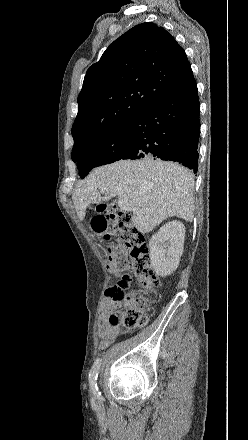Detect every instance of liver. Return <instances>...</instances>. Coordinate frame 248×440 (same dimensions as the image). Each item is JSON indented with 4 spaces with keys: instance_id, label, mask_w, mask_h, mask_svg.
Instances as JSON below:
<instances>
[{
    "instance_id": "liver-1",
    "label": "liver",
    "mask_w": 248,
    "mask_h": 440,
    "mask_svg": "<svg viewBox=\"0 0 248 440\" xmlns=\"http://www.w3.org/2000/svg\"><path fill=\"white\" fill-rule=\"evenodd\" d=\"M194 177L178 163L145 158L120 160L95 168L73 191L80 220L91 204L114 196L133 203L132 222L140 233H148L168 217L191 222L194 214ZM101 193L104 196H101Z\"/></svg>"
}]
</instances>
